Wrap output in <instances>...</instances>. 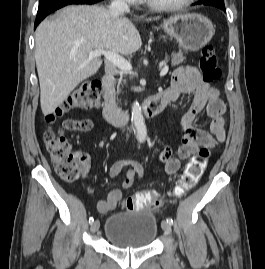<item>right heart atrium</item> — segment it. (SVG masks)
Masks as SVG:
<instances>
[{"mask_svg": "<svg viewBox=\"0 0 265 269\" xmlns=\"http://www.w3.org/2000/svg\"><path fill=\"white\" fill-rule=\"evenodd\" d=\"M119 1H123V2H132L134 0H119Z\"/></svg>", "mask_w": 265, "mask_h": 269, "instance_id": "right-heart-atrium-1", "label": "right heart atrium"}]
</instances>
